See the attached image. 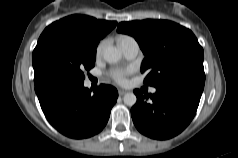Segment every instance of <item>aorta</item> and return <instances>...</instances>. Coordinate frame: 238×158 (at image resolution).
<instances>
[{
	"label": "aorta",
	"instance_id": "762f6f07",
	"mask_svg": "<svg viewBox=\"0 0 238 158\" xmlns=\"http://www.w3.org/2000/svg\"><path fill=\"white\" fill-rule=\"evenodd\" d=\"M121 51L114 46H107L103 50V58L108 63H116L121 59ZM123 101L127 106L135 105L137 97L134 93H126L123 97Z\"/></svg>",
	"mask_w": 238,
	"mask_h": 158
}]
</instances>
